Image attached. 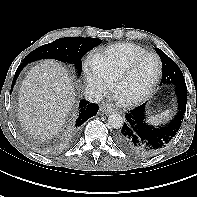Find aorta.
<instances>
[{
  "instance_id": "762f6f07",
  "label": "aorta",
  "mask_w": 197,
  "mask_h": 197,
  "mask_svg": "<svg viewBox=\"0 0 197 197\" xmlns=\"http://www.w3.org/2000/svg\"><path fill=\"white\" fill-rule=\"evenodd\" d=\"M124 124L123 118L120 114L112 113L108 117V125L113 129H120Z\"/></svg>"
}]
</instances>
